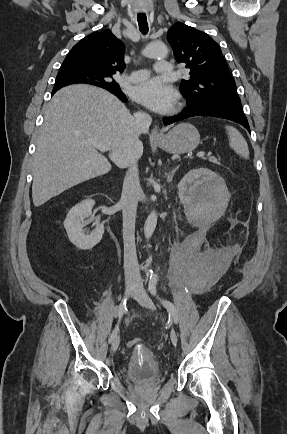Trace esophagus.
Returning a JSON list of instances; mask_svg holds the SVG:
<instances>
[{"label":"esophagus","mask_w":287,"mask_h":434,"mask_svg":"<svg viewBox=\"0 0 287 434\" xmlns=\"http://www.w3.org/2000/svg\"><path fill=\"white\" fill-rule=\"evenodd\" d=\"M152 137H154L156 139L160 138V134L158 132L157 126H155L152 130Z\"/></svg>","instance_id":"esophagus-1"}]
</instances>
